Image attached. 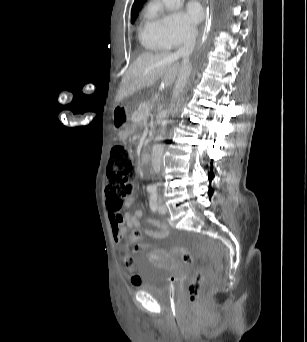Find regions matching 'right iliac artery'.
Here are the masks:
<instances>
[{
	"label": "right iliac artery",
	"mask_w": 307,
	"mask_h": 342,
	"mask_svg": "<svg viewBox=\"0 0 307 342\" xmlns=\"http://www.w3.org/2000/svg\"><path fill=\"white\" fill-rule=\"evenodd\" d=\"M148 191L152 193L154 191L153 187L149 188Z\"/></svg>",
	"instance_id": "obj_1"
}]
</instances>
